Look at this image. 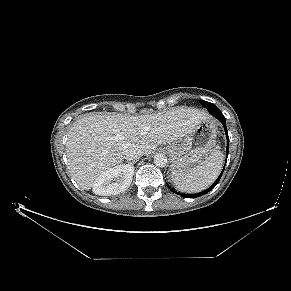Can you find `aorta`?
I'll list each match as a JSON object with an SVG mask.
<instances>
[{"instance_id": "762f6f07", "label": "aorta", "mask_w": 291, "mask_h": 291, "mask_svg": "<svg viewBox=\"0 0 291 291\" xmlns=\"http://www.w3.org/2000/svg\"><path fill=\"white\" fill-rule=\"evenodd\" d=\"M167 162V157L164 154L159 153L154 156V164L158 167H165Z\"/></svg>"}]
</instances>
